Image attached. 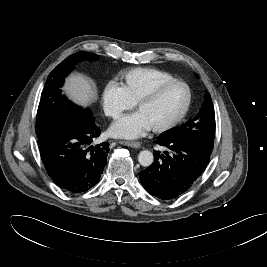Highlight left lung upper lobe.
<instances>
[{"label":"left lung upper lobe","mask_w":267,"mask_h":267,"mask_svg":"<svg viewBox=\"0 0 267 267\" xmlns=\"http://www.w3.org/2000/svg\"><path fill=\"white\" fill-rule=\"evenodd\" d=\"M215 126L212 99L210 94L206 93L202 107L195 118L180 127H175L161 133L159 137L189 140L211 153L214 146Z\"/></svg>","instance_id":"left-lung-upper-lobe-1"}]
</instances>
